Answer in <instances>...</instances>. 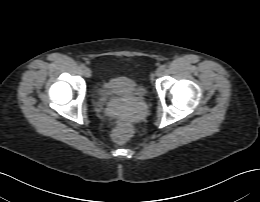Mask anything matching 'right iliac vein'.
<instances>
[{
    "instance_id": "1",
    "label": "right iliac vein",
    "mask_w": 260,
    "mask_h": 202,
    "mask_svg": "<svg viewBox=\"0 0 260 202\" xmlns=\"http://www.w3.org/2000/svg\"><path fill=\"white\" fill-rule=\"evenodd\" d=\"M83 72H84L85 77L89 78V77L91 76V70H90V68L85 67L84 70H83Z\"/></svg>"
}]
</instances>
